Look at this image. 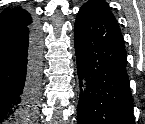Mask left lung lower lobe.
<instances>
[{"mask_svg": "<svg viewBox=\"0 0 145 124\" xmlns=\"http://www.w3.org/2000/svg\"><path fill=\"white\" fill-rule=\"evenodd\" d=\"M77 70L82 85L78 124H135L126 71V51L114 17L82 6L74 28Z\"/></svg>", "mask_w": 145, "mask_h": 124, "instance_id": "1", "label": "left lung lower lobe"}]
</instances>
